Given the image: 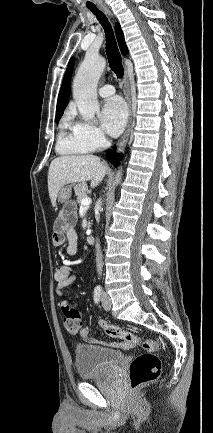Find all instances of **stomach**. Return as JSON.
<instances>
[{
    "mask_svg": "<svg viewBox=\"0 0 213 433\" xmlns=\"http://www.w3.org/2000/svg\"><path fill=\"white\" fill-rule=\"evenodd\" d=\"M71 187L70 186H63L58 193V201L64 204H68L69 200L71 198Z\"/></svg>",
    "mask_w": 213,
    "mask_h": 433,
    "instance_id": "stomach-1",
    "label": "stomach"
}]
</instances>
